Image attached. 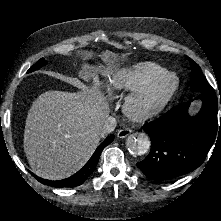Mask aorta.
<instances>
[{"instance_id": "aorta-1", "label": "aorta", "mask_w": 221, "mask_h": 221, "mask_svg": "<svg viewBox=\"0 0 221 221\" xmlns=\"http://www.w3.org/2000/svg\"><path fill=\"white\" fill-rule=\"evenodd\" d=\"M150 139L145 133H135L128 136L126 147L134 155H144L150 149Z\"/></svg>"}]
</instances>
